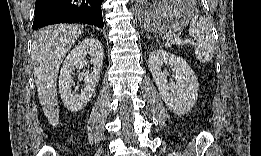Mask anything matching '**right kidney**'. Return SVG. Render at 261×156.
Here are the masks:
<instances>
[{
  "label": "right kidney",
  "mask_w": 261,
  "mask_h": 156,
  "mask_svg": "<svg viewBox=\"0 0 261 156\" xmlns=\"http://www.w3.org/2000/svg\"><path fill=\"white\" fill-rule=\"evenodd\" d=\"M91 56L93 71L85 75V87L80 94L72 92V71L82 69L86 64V56ZM103 65V47L99 40L87 38L79 42L66 57L59 76V92L61 99L68 110L77 112L81 110L91 99L95 86L100 78V70Z\"/></svg>",
  "instance_id": "1"
}]
</instances>
